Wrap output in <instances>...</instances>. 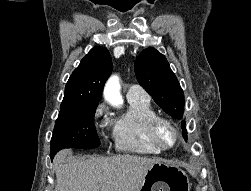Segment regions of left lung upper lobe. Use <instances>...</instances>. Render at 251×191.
Returning a JSON list of instances; mask_svg holds the SVG:
<instances>
[{"mask_svg":"<svg viewBox=\"0 0 251 191\" xmlns=\"http://www.w3.org/2000/svg\"><path fill=\"white\" fill-rule=\"evenodd\" d=\"M134 69L139 84L154 101L173 118L182 119L185 105L183 90L166 57L152 47L147 48L137 57ZM185 123V120L181 121V128L187 140Z\"/></svg>","mask_w":251,"mask_h":191,"instance_id":"obj_1","label":"left lung upper lobe"}]
</instances>
